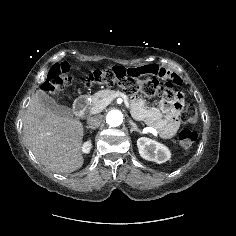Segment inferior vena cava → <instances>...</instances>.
I'll use <instances>...</instances> for the list:
<instances>
[{
  "instance_id": "obj_1",
  "label": "inferior vena cava",
  "mask_w": 236,
  "mask_h": 236,
  "mask_svg": "<svg viewBox=\"0 0 236 236\" xmlns=\"http://www.w3.org/2000/svg\"><path fill=\"white\" fill-rule=\"evenodd\" d=\"M103 116L102 115H95L87 119V124L91 127H98L102 122Z\"/></svg>"
}]
</instances>
